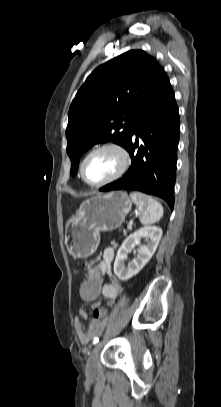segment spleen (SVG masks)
<instances>
[{"label":"spleen","mask_w":221,"mask_h":407,"mask_svg":"<svg viewBox=\"0 0 221 407\" xmlns=\"http://www.w3.org/2000/svg\"><path fill=\"white\" fill-rule=\"evenodd\" d=\"M130 197L139 207V219L142 224L149 225L162 218L163 207L153 197L141 192H131Z\"/></svg>","instance_id":"1"}]
</instances>
